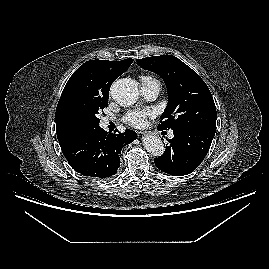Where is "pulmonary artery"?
Returning a JSON list of instances; mask_svg holds the SVG:
<instances>
[{"label":"pulmonary artery","instance_id":"pulmonary-artery-1","mask_svg":"<svg viewBox=\"0 0 269 269\" xmlns=\"http://www.w3.org/2000/svg\"><path fill=\"white\" fill-rule=\"evenodd\" d=\"M161 85L160 82L153 78H143L141 80V92L144 98L148 100L155 99L160 93ZM108 119H104L103 124L106 125ZM169 137H173V133L169 134Z\"/></svg>","mask_w":269,"mask_h":269}]
</instances>
